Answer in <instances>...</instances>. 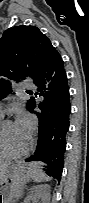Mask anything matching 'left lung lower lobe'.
Listing matches in <instances>:
<instances>
[{
  "instance_id": "obj_1",
  "label": "left lung lower lobe",
  "mask_w": 89,
  "mask_h": 203,
  "mask_svg": "<svg viewBox=\"0 0 89 203\" xmlns=\"http://www.w3.org/2000/svg\"><path fill=\"white\" fill-rule=\"evenodd\" d=\"M33 81L38 87L35 95L43 96L44 100L38 106L41 112L36 113L39 118L37 150L25 161H41V170L60 181L71 106L63 60L52 44L46 48L42 66ZM34 106L35 102L30 112H34Z\"/></svg>"
}]
</instances>
